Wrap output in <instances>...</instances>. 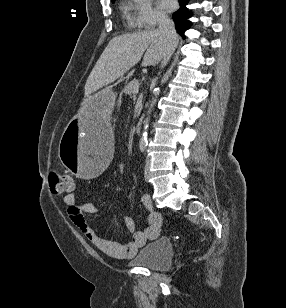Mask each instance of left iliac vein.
Instances as JSON below:
<instances>
[{"label":"left iliac vein","instance_id":"left-iliac-vein-1","mask_svg":"<svg viewBox=\"0 0 286 308\" xmlns=\"http://www.w3.org/2000/svg\"><path fill=\"white\" fill-rule=\"evenodd\" d=\"M149 168H150V160H149V158H147L146 164H145V167H144V178H145V180H148V178H149Z\"/></svg>","mask_w":286,"mask_h":308}]
</instances>
